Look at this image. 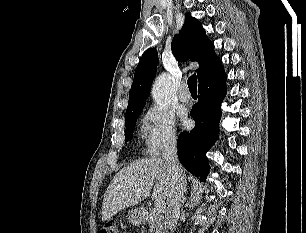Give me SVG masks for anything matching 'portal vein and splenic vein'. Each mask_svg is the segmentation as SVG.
Instances as JSON below:
<instances>
[{"label":"portal vein and splenic vein","instance_id":"obj_1","mask_svg":"<svg viewBox=\"0 0 306 233\" xmlns=\"http://www.w3.org/2000/svg\"><path fill=\"white\" fill-rule=\"evenodd\" d=\"M163 205H164V200L163 199H161V198L155 199L154 206H155L156 209H161L163 207Z\"/></svg>","mask_w":306,"mask_h":233}]
</instances>
